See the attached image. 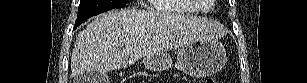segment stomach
Wrapping results in <instances>:
<instances>
[{
  "label": "stomach",
  "instance_id": "stomach-1",
  "mask_svg": "<svg viewBox=\"0 0 307 83\" xmlns=\"http://www.w3.org/2000/svg\"><path fill=\"white\" fill-rule=\"evenodd\" d=\"M226 58L224 46L216 40H199L182 47L175 66L193 77H204L218 72ZM144 65L151 71H164L172 67L167 54L144 58Z\"/></svg>",
  "mask_w": 307,
  "mask_h": 83
}]
</instances>
